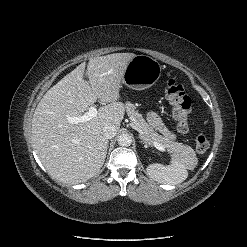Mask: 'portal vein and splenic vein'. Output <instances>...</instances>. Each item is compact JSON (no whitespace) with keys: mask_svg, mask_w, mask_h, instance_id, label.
Segmentation results:
<instances>
[{"mask_svg":"<svg viewBox=\"0 0 247 247\" xmlns=\"http://www.w3.org/2000/svg\"><path fill=\"white\" fill-rule=\"evenodd\" d=\"M98 111L96 109L95 106H91L89 108V110L84 113L83 115L81 116H78V117H72L70 118V122L71 123H79V122H86V121H89L90 119H92L93 117H95L97 115ZM153 145L160 151H165V148L157 143V142H154Z\"/></svg>","mask_w":247,"mask_h":247,"instance_id":"18ae733b","label":"portal vein and splenic vein"}]
</instances>
